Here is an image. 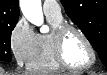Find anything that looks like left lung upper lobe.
Instances as JSON below:
<instances>
[{"label":"left lung upper lobe","mask_w":107,"mask_h":75,"mask_svg":"<svg viewBox=\"0 0 107 75\" xmlns=\"http://www.w3.org/2000/svg\"><path fill=\"white\" fill-rule=\"evenodd\" d=\"M61 3L107 67V0H61Z\"/></svg>","instance_id":"left-lung-upper-lobe-1"}]
</instances>
